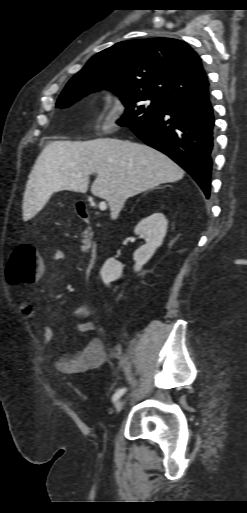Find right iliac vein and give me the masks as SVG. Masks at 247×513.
I'll use <instances>...</instances> for the list:
<instances>
[{
  "mask_svg": "<svg viewBox=\"0 0 247 513\" xmlns=\"http://www.w3.org/2000/svg\"><path fill=\"white\" fill-rule=\"evenodd\" d=\"M124 405H125V400L124 399L117 400L115 402L116 413H119L123 409Z\"/></svg>",
  "mask_w": 247,
  "mask_h": 513,
  "instance_id": "1",
  "label": "right iliac vein"
}]
</instances>
